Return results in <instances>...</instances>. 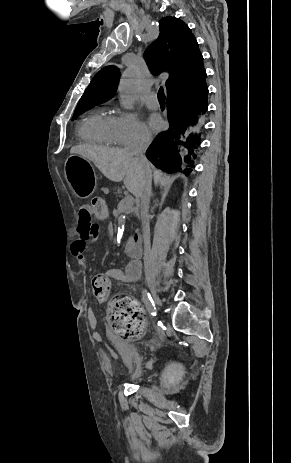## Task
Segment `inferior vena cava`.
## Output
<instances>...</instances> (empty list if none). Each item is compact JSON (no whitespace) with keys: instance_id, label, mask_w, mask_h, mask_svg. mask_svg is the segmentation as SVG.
Wrapping results in <instances>:
<instances>
[{"instance_id":"1","label":"inferior vena cava","mask_w":291,"mask_h":463,"mask_svg":"<svg viewBox=\"0 0 291 463\" xmlns=\"http://www.w3.org/2000/svg\"><path fill=\"white\" fill-rule=\"evenodd\" d=\"M151 137L148 133H140L136 142L127 148V151L144 167L145 179L140 195V212L142 221V236L144 242V258L148 260L150 250L149 204L151 197L152 175L150 165L145 157V151L150 145Z\"/></svg>"}]
</instances>
